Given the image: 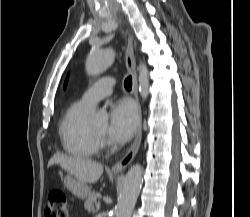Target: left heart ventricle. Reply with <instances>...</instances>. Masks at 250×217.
<instances>
[{"instance_id": "left-heart-ventricle-1", "label": "left heart ventricle", "mask_w": 250, "mask_h": 217, "mask_svg": "<svg viewBox=\"0 0 250 217\" xmlns=\"http://www.w3.org/2000/svg\"><path fill=\"white\" fill-rule=\"evenodd\" d=\"M92 127L94 128L95 131L98 133L105 135L107 133V123H98V124H93Z\"/></svg>"}]
</instances>
